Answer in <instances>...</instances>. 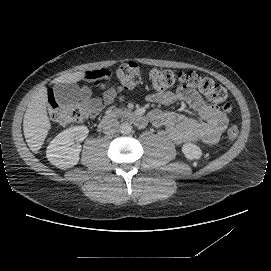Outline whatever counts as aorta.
Masks as SVG:
<instances>
[{
  "label": "aorta",
  "mask_w": 271,
  "mask_h": 271,
  "mask_svg": "<svg viewBox=\"0 0 271 271\" xmlns=\"http://www.w3.org/2000/svg\"><path fill=\"white\" fill-rule=\"evenodd\" d=\"M119 130L122 134H130L132 131V126L130 123L128 122H123L120 127Z\"/></svg>",
  "instance_id": "obj_1"
}]
</instances>
